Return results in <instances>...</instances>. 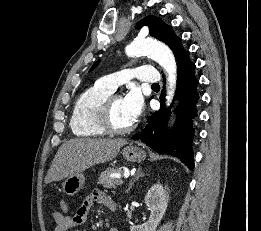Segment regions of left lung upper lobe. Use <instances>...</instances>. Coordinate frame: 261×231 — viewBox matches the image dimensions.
<instances>
[{"label":"left lung upper lobe","mask_w":261,"mask_h":231,"mask_svg":"<svg viewBox=\"0 0 261 231\" xmlns=\"http://www.w3.org/2000/svg\"><path fill=\"white\" fill-rule=\"evenodd\" d=\"M147 25L149 27V34L158 40L167 44L174 53L176 62L178 63L186 54V51L182 44L181 39L178 38L172 30V27L165 24L160 18L155 16H147L142 21H140L137 27ZM96 64L92 67V69Z\"/></svg>","instance_id":"5c2ea615"}]
</instances>
